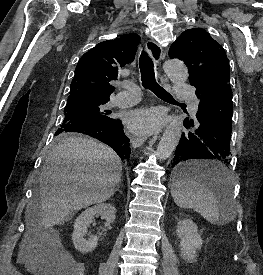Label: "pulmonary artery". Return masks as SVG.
Returning a JSON list of instances; mask_svg holds the SVG:
<instances>
[{"label": "pulmonary artery", "mask_w": 263, "mask_h": 275, "mask_svg": "<svg viewBox=\"0 0 263 275\" xmlns=\"http://www.w3.org/2000/svg\"><path fill=\"white\" fill-rule=\"evenodd\" d=\"M126 90L120 92L117 96V104L122 107L136 104L140 99L138 87L135 84L129 83ZM176 93L182 96L189 103L192 112H196L198 108V100L193 89L185 84L175 87Z\"/></svg>", "instance_id": "obj_1"}]
</instances>
